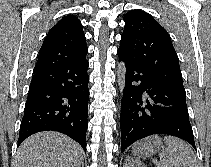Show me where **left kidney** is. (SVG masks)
<instances>
[{
  "mask_svg": "<svg viewBox=\"0 0 211 167\" xmlns=\"http://www.w3.org/2000/svg\"><path fill=\"white\" fill-rule=\"evenodd\" d=\"M123 167H146L140 160L127 157Z\"/></svg>",
  "mask_w": 211,
  "mask_h": 167,
  "instance_id": "5707ae66",
  "label": "left kidney"
}]
</instances>
